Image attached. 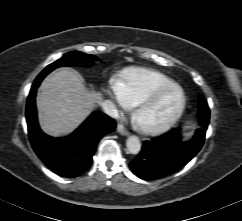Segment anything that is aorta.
Instances as JSON below:
<instances>
[{"label":"aorta","instance_id":"aorta-1","mask_svg":"<svg viewBox=\"0 0 242 221\" xmlns=\"http://www.w3.org/2000/svg\"><path fill=\"white\" fill-rule=\"evenodd\" d=\"M126 146L131 154H138L141 150V143L137 136H130L127 139Z\"/></svg>","mask_w":242,"mask_h":221}]
</instances>
